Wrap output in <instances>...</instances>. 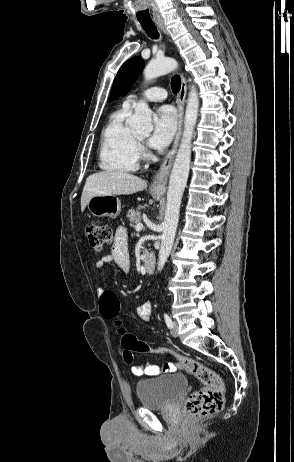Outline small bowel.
Wrapping results in <instances>:
<instances>
[{"label": "small bowel", "instance_id": "small-bowel-1", "mask_svg": "<svg viewBox=\"0 0 294 462\" xmlns=\"http://www.w3.org/2000/svg\"><path fill=\"white\" fill-rule=\"evenodd\" d=\"M114 262L123 272H129L131 262L127 247V233L125 229L120 228L117 230L114 238V243L110 254L104 255L95 263V269L103 270L105 265ZM105 291L104 288H99L98 293L102 295ZM153 310L151 301H146L135 307L136 315L144 322H149ZM177 365L172 361H167L162 366L146 363L144 365L134 364L131 371L135 376H157L161 373L176 372Z\"/></svg>", "mask_w": 294, "mask_h": 462}]
</instances>
